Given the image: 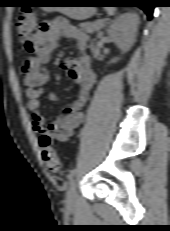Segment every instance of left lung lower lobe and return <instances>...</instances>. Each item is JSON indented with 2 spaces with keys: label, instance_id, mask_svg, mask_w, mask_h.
<instances>
[{
  "label": "left lung lower lobe",
  "instance_id": "left-lung-lower-lobe-1",
  "mask_svg": "<svg viewBox=\"0 0 170 231\" xmlns=\"http://www.w3.org/2000/svg\"><path fill=\"white\" fill-rule=\"evenodd\" d=\"M99 3L114 4L116 7H139L146 14L148 19L152 18L154 9L153 0H103Z\"/></svg>",
  "mask_w": 170,
  "mask_h": 231
}]
</instances>
